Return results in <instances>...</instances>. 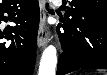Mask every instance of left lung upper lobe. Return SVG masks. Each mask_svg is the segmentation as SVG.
<instances>
[{
  "instance_id": "left-lung-upper-lobe-1",
  "label": "left lung upper lobe",
  "mask_w": 107,
  "mask_h": 75,
  "mask_svg": "<svg viewBox=\"0 0 107 75\" xmlns=\"http://www.w3.org/2000/svg\"><path fill=\"white\" fill-rule=\"evenodd\" d=\"M97 12L107 13V0H89L86 3L79 5L73 12L69 13L65 18L70 26L76 31L78 36L84 40V33L82 31V16L90 15ZM86 39V38H85ZM88 50V49H85Z\"/></svg>"
}]
</instances>
